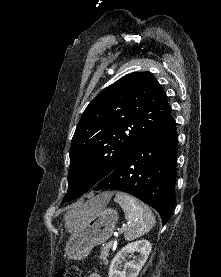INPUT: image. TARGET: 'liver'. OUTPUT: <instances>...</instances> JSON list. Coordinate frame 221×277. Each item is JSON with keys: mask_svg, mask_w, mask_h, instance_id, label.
<instances>
[{"mask_svg": "<svg viewBox=\"0 0 221 277\" xmlns=\"http://www.w3.org/2000/svg\"><path fill=\"white\" fill-rule=\"evenodd\" d=\"M112 195H113L112 192L103 193V194L95 197V201L98 204H102V205L107 204L109 202V200L111 199ZM74 213H75V211H70L67 213V215H65L66 226L68 223V219L71 218L74 215Z\"/></svg>", "mask_w": 221, "mask_h": 277, "instance_id": "liver-1", "label": "liver"}]
</instances>
